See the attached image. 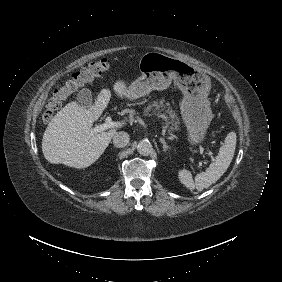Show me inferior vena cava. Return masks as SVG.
I'll list each match as a JSON object with an SVG mask.
<instances>
[{
  "mask_svg": "<svg viewBox=\"0 0 282 282\" xmlns=\"http://www.w3.org/2000/svg\"><path fill=\"white\" fill-rule=\"evenodd\" d=\"M129 142V134L124 131L115 133L113 143L117 148L125 147Z\"/></svg>",
  "mask_w": 282,
  "mask_h": 282,
  "instance_id": "inferior-vena-cava-1",
  "label": "inferior vena cava"
}]
</instances>
